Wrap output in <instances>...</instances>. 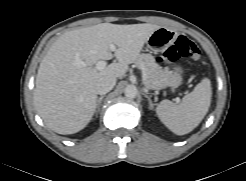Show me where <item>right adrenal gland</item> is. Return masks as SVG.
<instances>
[{"mask_svg":"<svg viewBox=\"0 0 246 181\" xmlns=\"http://www.w3.org/2000/svg\"><path fill=\"white\" fill-rule=\"evenodd\" d=\"M104 97H105V96L102 95V96H100V97L97 99V103H96L97 112L100 111V105H101V102H102V100H103Z\"/></svg>","mask_w":246,"mask_h":181,"instance_id":"right-adrenal-gland-1","label":"right adrenal gland"}]
</instances>
